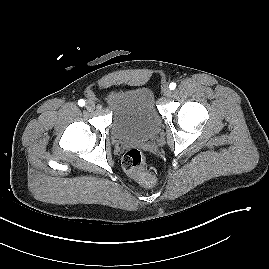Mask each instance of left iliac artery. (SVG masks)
Masks as SVG:
<instances>
[{"mask_svg":"<svg viewBox=\"0 0 269 269\" xmlns=\"http://www.w3.org/2000/svg\"><path fill=\"white\" fill-rule=\"evenodd\" d=\"M170 90H174L176 88V83L172 82L169 85Z\"/></svg>","mask_w":269,"mask_h":269,"instance_id":"1","label":"left iliac artery"}]
</instances>
